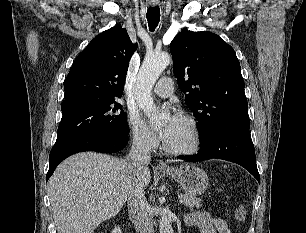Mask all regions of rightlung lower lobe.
<instances>
[{
  "instance_id": "right-lung-lower-lobe-1",
  "label": "right lung lower lobe",
  "mask_w": 306,
  "mask_h": 233,
  "mask_svg": "<svg viewBox=\"0 0 306 233\" xmlns=\"http://www.w3.org/2000/svg\"><path fill=\"white\" fill-rule=\"evenodd\" d=\"M128 143V135H110L104 133H85L74 136L60 143H55L49 155V170L46 181L53 174L57 165L68 156L77 152L97 151L115 153Z\"/></svg>"
}]
</instances>
